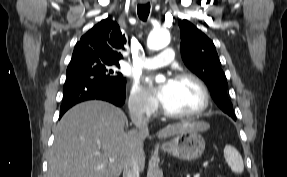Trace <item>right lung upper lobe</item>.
I'll use <instances>...</instances> for the list:
<instances>
[{
    "mask_svg": "<svg viewBox=\"0 0 287 177\" xmlns=\"http://www.w3.org/2000/svg\"><path fill=\"white\" fill-rule=\"evenodd\" d=\"M125 43V34L121 32L119 25L111 19H104L77 42L70 63L99 59L118 64L122 59L121 51L124 50Z\"/></svg>",
    "mask_w": 287,
    "mask_h": 177,
    "instance_id": "right-lung-upper-lobe-1",
    "label": "right lung upper lobe"
}]
</instances>
